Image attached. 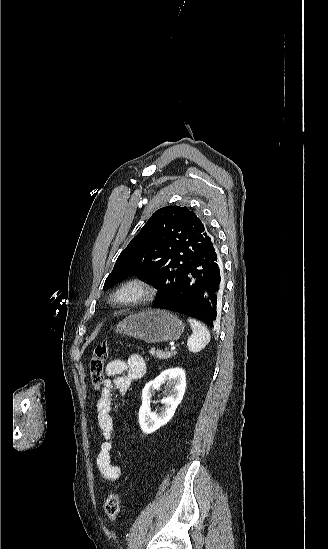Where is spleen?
Returning a JSON list of instances; mask_svg holds the SVG:
<instances>
[{
    "label": "spleen",
    "instance_id": "obj_1",
    "mask_svg": "<svg viewBox=\"0 0 328 549\" xmlns=\"http://www.w3.org/2000/svg\"><path fill=\"white\" fill-rule=\"evenodd\" d=\"M188 323H190L193 331L191 337H189L187 341L188 351H190V353H199V351H202V349L210 343L211 335L207 327L202 325L200 321L188 319Z\"/></svg>",
    "mask_w": 328,
    "mask_h": 549
}]
</instances>
